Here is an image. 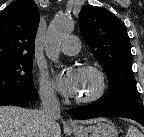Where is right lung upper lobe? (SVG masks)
<instances>
[{
	"mask_svg": "<svg viewBox=\"0 0 144 137\" xmlns=\"http://www.w3.org/2000/svg\"><path fill=\"white\" fill-rule=\"evenodd\" d=\"M40 15L33 0H17L0 13V63L32 56Z\"/></svg>",
	"mask_w": 144,
	"mask_h": 137,
	"instance_id": "obj_1",
	"label": "right lung upper lobe"
}]
</instances>
